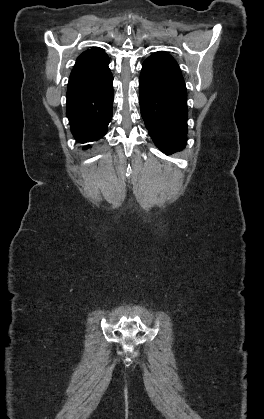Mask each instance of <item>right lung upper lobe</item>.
<instances>
[{
	"mask_svg": "<svg viewBox=\"0 0 264 419\" xmlns=\"http://www.w3.org/2000/svg\"><path fill=\"white\" fill-rule=\"evenodd\" d=\"M107 54L98 47L83 52L76 61L68 86L93 84L110 72Z\"/></svg>",
	"mask_w": 264,
	"mask_h": 419,
	"instance_id": "cb5924a9",
	"label": "right lung upper lobe"
}]
</instances>
